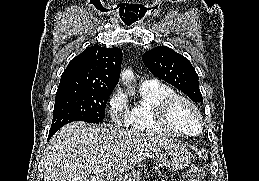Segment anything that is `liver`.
<instances>
[{"label": "liver", "mask_w": 259, "mask_h": 181, "mask_svg": "<svg viewBox=\"0 0 259 181\" xmlns=\"http://www.w3.org/2000/svg\"><path fill=\"white\" fill-rule=\"evenodd\" d=\"M171 144L136 130L73 122L50 140L44 181H112Z\"/></svg>", "instance_id": "6515ba94"}]
</instances>
